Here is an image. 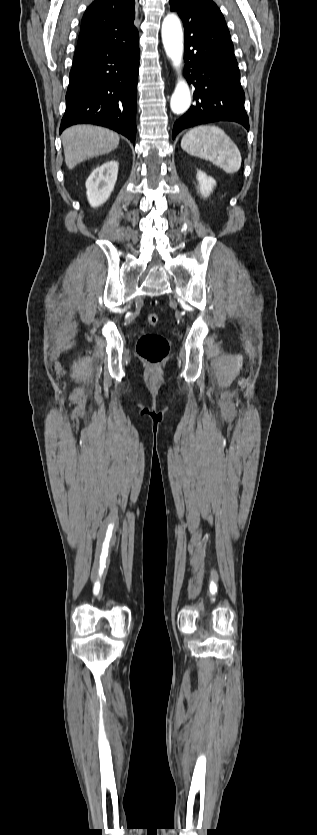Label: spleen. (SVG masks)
<instances>
[{"label":"spleen","instance_id":"3e777b00","mask_svg":"<svg viewBox=\"0 0 317 835\" xmlns=\"http://www.w3.org/2000/svg\"><path fill=\"white\" fill-rule=\"evenodd\" d=\"M181 148L192 156L211 162L227 174H234L241 167L238 147L221 128L214 125L189 130L181 140Z\"/></svg>","mask_w":317,"mask_h":835}]
</instances>
